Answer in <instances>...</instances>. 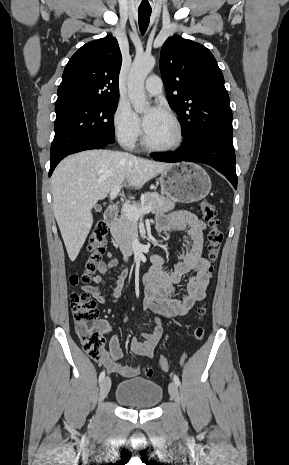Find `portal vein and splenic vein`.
<instances>
[{"instance_id":"obj_1","label":"portal vein and splenic vein","mask_w":289,"mask_h":465,"mask_svg":"<svg viewBox=\"0 0 289 465\" xmlns=\"http://www.w3.org/2000/svg\"><path fill=\"white\" fill-rule=\"evenodd\" d=\"M120 189V186H116L112 189V191L110 192L111 200H114L117 197V195L120 192ZM122 210L131 220L138 221L141 216L148 214L152 211V206H145L141 209H138L133 205L123 204Z\"/></svg>"}]
</instances>
